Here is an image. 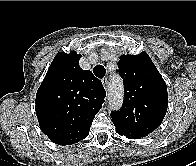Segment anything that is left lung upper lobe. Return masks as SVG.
<instances>
[{"label":"left lung upper lobe","instance_id":"left-lung-upper-lobe-1","mask_svg":"<svg viewBox=\"0 0 196 166\" xmlns=\"http://www.w3.org/2000/svg\"><path fill=\"white\" fill-rule=\"evenodd\" d=\"M125 98L122 108L112 112V122L138 138L152 133L167 111V86L146 52L121 55L118 62Z\"/></svg>","mask_w":196,"mask_h":166}]
</instances>
